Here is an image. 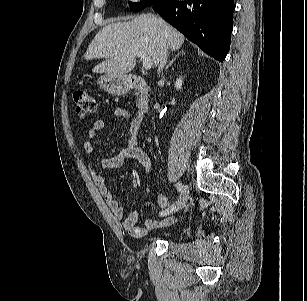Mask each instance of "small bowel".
<instances>
[{
	"instance_id": "small-bowel-1",
	"label": "small bowel",
	"mask_w": 307,
	"mask_h": 301,
	"mask_svg": "<svg viewBox=\"0 0 307 301\" xmlns=\"http://www.w3.org/2000/svg\"><path fill=\"white\" fill-rule=\"evenodd\" d=\"M113 113L117 117L129 122L130 136L128 147L115 156L104 158L102 160V167L105 169L120 168L126 158H133L144 167V172L148 176L152 170V162L149 155L139 146V131L143 121L142 115L121 107L115 108ZM106 127L107 124L104 120H96L93 126L87 131V139L83 142V149L90 156L87 169L93 183L98 188L115 218L121 222L123 229L134 238H142L151 230L172 224L174 222L173 218L164 220L146 219L143 226H137L139 219V212L137 210H133L128 215H125L124 208L109 190L105 178L99 173L93 161L95 153L93 141ZM155 201L160 207H165L170 204L169 197L165 195H158Z\"/></svg>"
}]
</instances>
